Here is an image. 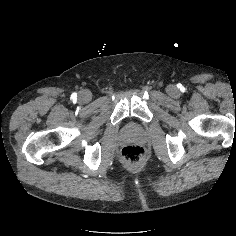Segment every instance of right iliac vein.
Listing matches in <instances>:
<instances>
[{
  "label": "right iliac vein",
  "instance_id": "1",
  "mask_svg": "<svg viewBox=\"0 0 236 236\" xmlns=\"http://www.w3.org/2000/svg\"><path fill=\"white\" fill-rule=\"evenodd\" d=\"M91 100V93L88 90H82L78 94V102L85 104Z\"/></svg>",
  "mask_w": 236,
  "mask_h": 236
}]
</instances>
